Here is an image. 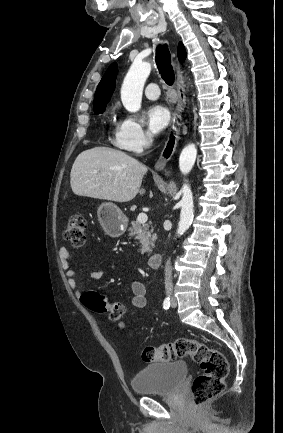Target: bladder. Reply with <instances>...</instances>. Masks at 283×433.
Segmentation results:
<instances>
[{
  "label": "bladder",
  "mask_w": 283,
  "mask_h": 433,
  "mask_svg": "<svg viewBox=\"0 0 283 433\" xmlns=\"http://www.w3.org/2000/svg\"><path fill=\"white\" fill-rule=\"evenodd\" d=\"M186 376V364L182 361L156 363L135 374L131 387L135 393L174 392Z\"/></svg>",
  "instance_id": "obj_1"
}]
</instances>
